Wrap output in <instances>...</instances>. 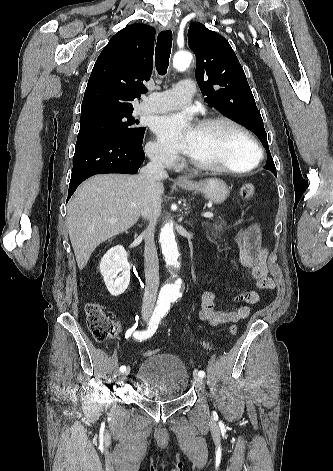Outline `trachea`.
Returning <instances> with one entry per match:
<instances>
[{
    "label": "trachea",
    "mask_w": 333,
    "mask_h": 471,
    "mask_svg": "<svg viewBox=\"0 0 333 471\" xmlns=\"http://www.w3.org/2000/svg\"><path fill=\"white\" fill-rule=\"evenodd\" d=\"M172 46L171 30L161 31L157 38L155 50V67L160 75H165L169 65Z\"/></svg>",
    "instance_id": "1"
}]
</instances>
